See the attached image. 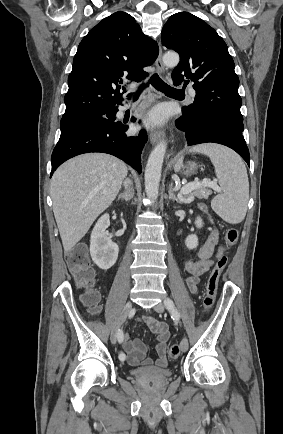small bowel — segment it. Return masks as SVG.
<instances>
[{
  "label": "small bowel",
  "instance_id": "small-bowel-1",
  "mask_svg": "<svg viewBox=\"0 0 283 434\" xmlns=\"http://www.w3.org/2000/svg\"><path fill=\"white\" fill-rule=\"evenodd\" d=\"M202 210H205L204 206H201ZM219 244V233L215 227H212L206 241L201 246L197 253L198 260H186L185 269L189 273V277L186 279V285L190 292L196 293L197 286L202 274L207 272L213 265L212 257L215 254L216 258H220L224 254L223 247L218 246L215 252L216 246ZM99 311V308H98ZM149 330L157 336V358L153 359L146 357L147 347L140 339H131L128 334H125L122 341V349L124 350L127 361L132 366H137L140 363L144 366L155 365L159 368H165L168 365L166 356L167 342L170 337L168 327L165 323L157 321L151 316H144L141 320Z\"/></svg>",
  "mask_w": 283,
  "mask_h": 434
}]
</instances>
